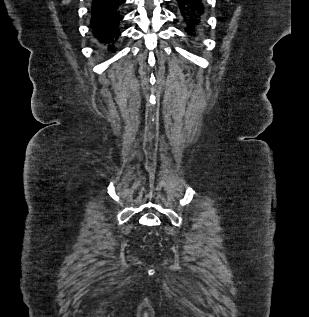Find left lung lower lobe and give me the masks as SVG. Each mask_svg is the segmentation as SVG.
Here are the masks:
<instances>
[{"label": "left lung lower lobe", "mask_w": 309, "mask_h": 317, "mask_svg": "<svg viewBox=\"0 0 309 317\" xmlns=\"http://www.w3.org/2000/svg\"><path fill=\"white\" fill-rule=\"evenodd\" d=\"M178 14L185 26V32L196 38L206 25L205 0H176Z\"/></svg>", "instance_id": "obj_1"}]
</instances>
